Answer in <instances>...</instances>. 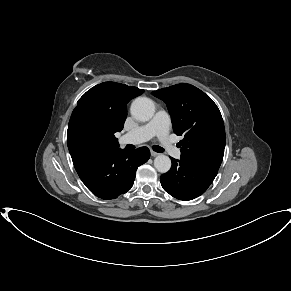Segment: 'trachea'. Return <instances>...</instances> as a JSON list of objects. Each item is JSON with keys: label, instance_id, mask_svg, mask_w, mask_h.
<instances>
[{"label": "trachea", "instance_id": "obj_1", "mask_svg": "<svg viewBox=\"0 0 291 291\" xmlns=\"http://www.w3.org/2000/svg\"><path fill=\"white\" fill-rule=\"evenodd\" d=\"M152 148L155 152H158V153L164 152V149L160 146L154 145V146H152Z\"/></svg>", "mask_w": 291, "mask_h": 291}]
</instances>
